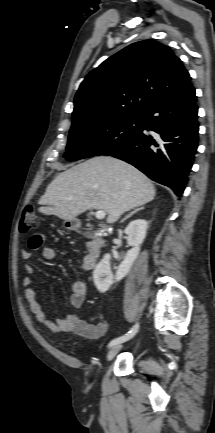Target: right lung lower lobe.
I'll return each instance as SVG.
<instances>
[{
    "label": "right lung lower lobe",
    "mask_w": 215,
    "mask_h": 433,
    "mask_svg": "<svg viewBox=\"0 0 215 433\" xmlns=\"http://www.w3.org/2000/svg\"><path fill=\"white\" fill-rule=\"evenodd\" d=\"M196 101L195 89L189 82L144 113L137 137L104 155L132 164L180 197L198 147ZM143 130L154 133L146 134Z\"/></svg>",
    "instance_id": "98d812e1"
}]
</instances>
